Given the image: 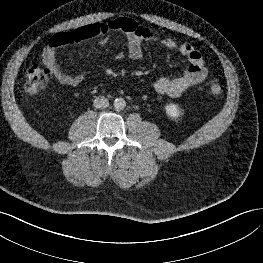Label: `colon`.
<instances>
[{"instance_id": "colon-1", "label": "colon", "mask_w": 263, "mask_h": 263, "mask_svg": "<svg viewBox=\"0 0 263 263\" xmlns=\"http://www.w3.org/2000/svg\"><path fill=\"white\" fill-rule=\"evenodd\" d=\"M51 80V71L48 68L39 65L31 66L26 73L25 90L29 94H37L44 90ZM208 91L213 96L222 93L223 87L215 79H212L208 85Z\"/></svg>"}]
</instances>
